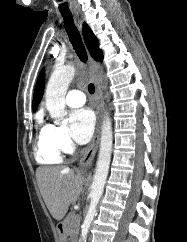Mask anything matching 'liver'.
Here are the masks:
<instances>
[{
    "mask_svg": "<svg viewBox=\"0 0 187 242\" xmlns=\"http://www.w3.org/2000/svg\"><path fill=\"white\" fill-rule=\"evenodd\" d=\"M36 178L50 214L55 220H62L69 206L79 198L85 182L84 176L79 171L57 166L39 167Z\"/></svg>",
    "mask_w": 187,
    "mask_h": 242,
    "instance_id": "6515ba94",
    "label": "liver"
}]
</instances>
